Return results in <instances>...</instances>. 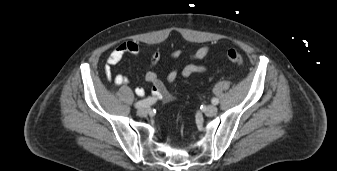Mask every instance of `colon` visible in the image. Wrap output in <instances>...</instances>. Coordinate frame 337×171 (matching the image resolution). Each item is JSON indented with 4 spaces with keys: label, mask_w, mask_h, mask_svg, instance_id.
<instances>
[{
    "label": "colon",
    "mask_w": 337,
    "mask_h": 171,
    "mask_svg": "<svg viewBox=\"0 0 337 171\" xmlns=\"http://www.w3.org/2000/svg\"><path fill=\"white\" fill-rule=\"evenodd\" d=\"M226 57L230 62L237 64V65H241L244 62L243 55L239 51L234 50V49L227 50Z\"/></svg>",
    "instance_id": "1"
}]
</instances>
